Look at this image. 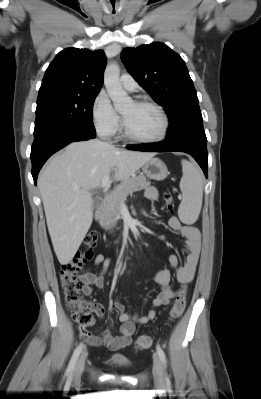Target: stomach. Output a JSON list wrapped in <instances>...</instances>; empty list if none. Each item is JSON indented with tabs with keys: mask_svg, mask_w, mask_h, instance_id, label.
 Segmentation results:
<instances>
[{
	"mask_svg": "<svg viewBox=\"0 0 261 399\" xmlns=\"http://www.w3.org/2000/svg\"><path fill=\"white\" fill-rule=\"evenodd\" d=\"M142 170L147 177L157 181L165 179L169 174L167 166L159 158H152L147 161L142 166Z\"/></svg>",
	"mask_w": 261,
	"mask_h": 399,
	"instance_id": "stomach-1",
	"label": "stomach"
}]
</instances>
